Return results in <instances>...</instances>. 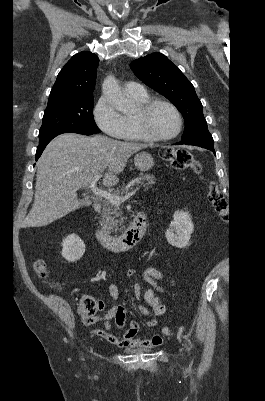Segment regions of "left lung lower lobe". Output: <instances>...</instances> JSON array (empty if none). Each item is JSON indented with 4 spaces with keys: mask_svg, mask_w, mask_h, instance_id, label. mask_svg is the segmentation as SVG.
Instances as JSON below:
<instances>
[{
    "mask_svg": "<svg viewBox=\"0 0 265 401\" xmlns=\"http://www.w3.org/2000/svg\"><path fill=\"white\" fill-rule=\"evenodd\" d=\"M177 144L200 146L202 148H206V149L212 151L215 154L214 141L209 132L195 136V137L188 138L186 140H182L181 142H179Z\"/></svg>",
    "mask_w": 265,
    "mask_h": 401,
    "instance_id": "left-lung-lower-lobe-1",
    "label": "left lung lower lobe"
}]
</instances>
